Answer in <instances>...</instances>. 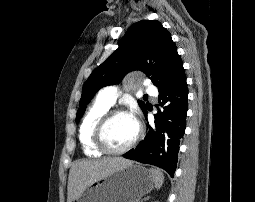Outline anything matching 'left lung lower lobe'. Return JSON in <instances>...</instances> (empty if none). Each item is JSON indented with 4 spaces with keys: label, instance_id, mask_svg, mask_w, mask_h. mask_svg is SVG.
Returning <instances> with one entry per match:
<instances>
[{
    "label": "left lung lower lobe",
    "instance_id": "1",
    "mask_svg": "<svg viewBox=\"0 0 255 202\" xmlns=\"http://www.w3.org/2000/svg\"><path fill=\"white\" fill-rule=\"evenodd\" d=\"M188 89L186 75H181L167 88L159 90V104L163 109L154 115L155 123L147 124L148 132L136 148L124 158L151 164L174 176L180 139L183 137L187 116ZM147 115V110L144 112Z\"/></svg>",
    "mask_w": 255,
    "mask_h": 202
}]
</instances>
